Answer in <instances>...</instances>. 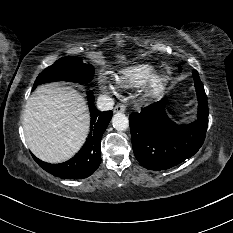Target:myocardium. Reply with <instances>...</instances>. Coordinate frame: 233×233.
Listing matches in <instances>:
<instances>
[{
	"mask_svg": "<svg viewBox=\"0 0 233 233\" xmlns=\"http://www.w3.org/2000/svg\"><path fill=\"white\" fill-rule=\"evenodd\" d=\"M167 79V76L164 74L153 77L146 86L145 97L149 100L156 98L164 88Z\"/></svg>",
	"mask_w": 233,
	"mask_h": 233,
	"instance_id": "obj_1",
	"label": "myocardium"
}]
</instances>
